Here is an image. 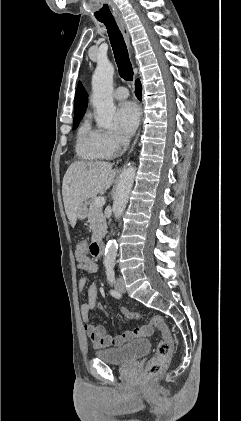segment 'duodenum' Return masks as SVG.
Here are the masks:
<instances>
[{
	"label": "duodenum",
	"instance_id": "obj_1",
	"mask_svg": "<svg viewBox=\"0 0 241 421\" xmlns=\"http://www.w3.org/2000/svg\"><path fill=\"white\" fill-rule=\"evenodd\" d=\"M91 253L96 257H101L104 254L105 243L101 238L95 239L91 244Z\"/></svg>",
	"mask_w": 241,
	"mask_h": 421
}]
</instances>
